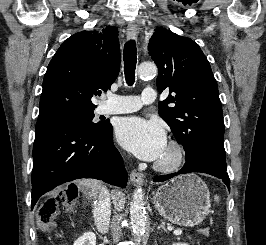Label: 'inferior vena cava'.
Returning <instances> with one entry per match:
<instances>
[{
	"label": "inferior vena cava",
	"mask_w": 266,
	"mask_h": 245,
	"mask_svg": "<svg viewBox=\"0 0 266 245\" xmlns=\"http://www.w3.org/2000/svg\"><path fill=\"white\" fill-rule=\"evenodd\" d=\"M93 199V215L95 225L99 233H108L111 217V197L108 189L102 187L99 193H95Z\"/></svg>",
	"instance_id": "inferior-vena-cava-1"
}]
</instances>
